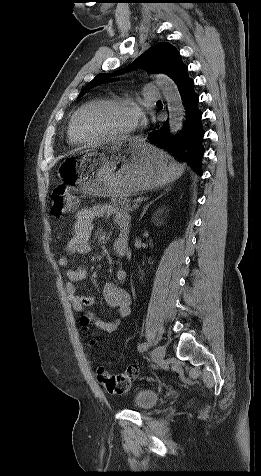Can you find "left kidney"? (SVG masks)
<instances>
[{
  "label": "left kidney",
  "mask_w": 261,
  "mask_h": 476,
  "mask_svg": "<svg viewBox=\"0 0 261 476\" xmlns=\"http://www.w3.org/2000/svg\"><path fill=\"white\" fill-rule=\"evenodd\" d=\"M161 212H163V210H161V211H160V210H159V211H157V213H161ZM156 220H158V219H156V218H155V221H156Z\"/></svg>",
  "instance_id": "obj_1"
}]
</instances>
